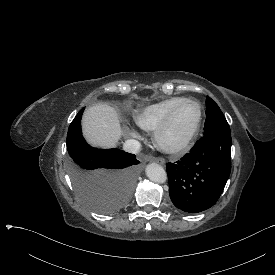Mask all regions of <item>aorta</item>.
<instances>
[{
    "instance_id": "obj_1",
    "label": "aorta",
    "mask_w": 275,
    "mask_h": 275,
    "mask_svg": "<svg viewBox=\"0 0 275 275\" xmlns=\"http://www.w3.org/2000/svg\"><path fill=\"white\" fill-rule=\"evenodd\" d=\"M147 177L156 183H165L167 180V174L162 166L156 163H151L146 166L145 169Z\"/></svg>"
}]
</instances>
